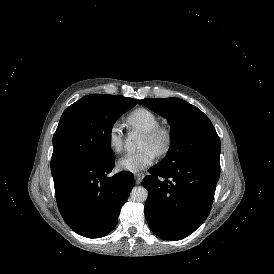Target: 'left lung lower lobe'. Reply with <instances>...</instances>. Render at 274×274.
<instances>
[{
	"mask_svg": "<svg viewBox=\"0 0 274 274\" xmlns=\"http://www.w3.org/2000/svg\"><path fill=\"white\" fill-rule=\"evenodd\" d=\"M142 185L148 190L145 216L166 240H181L207 218L220 176V162L196 159L175 166L157 164Z\"/></svg>",
	"mask_w": 274,
	"mask_h": 274,
	"instance_id": "0a47b994",
	"label": "left lung lower lobe"
}]
</instances>
